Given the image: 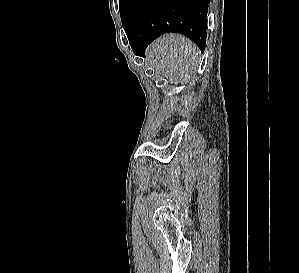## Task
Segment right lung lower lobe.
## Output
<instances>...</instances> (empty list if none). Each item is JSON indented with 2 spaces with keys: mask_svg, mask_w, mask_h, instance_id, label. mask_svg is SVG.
<instances>
[{
  "mask_svg": "<svg viewBox=\"0 0 299 273\" xmlns=\"http://www.w3.org/2000/svg\"><path fill=\"white\" fill-rule=\"evenodd\" d=\"M210 0H134L123 27L135 55L166 32L190 38L205 50L207 13Z\"/></svg>",
  "mask_w": 299,
  "mask_h": 273,
  "instance_id": "98d812e1",
  "label": "right lung lower lobe"
}]
</instances>
